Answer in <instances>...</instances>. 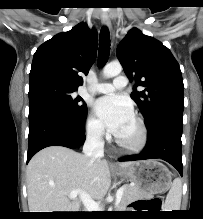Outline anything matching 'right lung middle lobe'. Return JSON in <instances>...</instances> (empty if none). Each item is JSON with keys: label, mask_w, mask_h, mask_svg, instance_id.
<instances>
[{"label": "right lung middle lobe", "mask_w": 203, "mask_h": 219, "mask_svg": "<svg viewBox=\"0 0 203 219\" xmlns=\"http://www.w3.org/2000/svg\"><path fill=\"white\" fill-rule=\"evenodd\" d=\"M76 88L53 81L29 83V107L43 106L57 110L69 117H81L87 113L83 99L75 97Z\"/></svg>", "instance_id": "right-lung-middle-lobe-1"}]
</instances>
